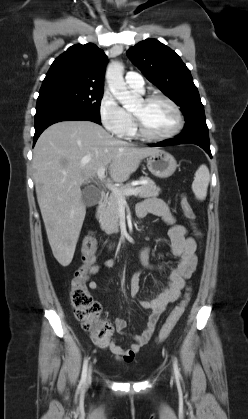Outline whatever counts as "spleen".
I'll list each match as a JSON object with an SVG mask.
<instances>
[{
	"mask_svg": "<svg viewBox=\"0 0 248 419\" xmlns=\"http://www.w3.org/2000/svg\"><path fill=\"white\" fill-rule=\"evenodd\" d=\"M210 174L207 166L202 164L195 173L192 190L198 200H204L207 195Z\"/></svg>",
	"mask_w": 248,
	"mask_h": 419,
	"instance_id": "1",
	"label": "spleen"
}]
</instances>
